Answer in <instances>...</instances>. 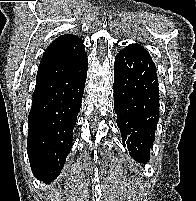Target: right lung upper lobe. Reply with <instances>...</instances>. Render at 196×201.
<instances>
[{
    "instance_id": "obj_1",
    "label": "right lung upper lobe",
    "mask_w": 196,
    "mask_h": 201,
    "mask_svg": "<svg viewBox=\"0 0 196 201\" xmlns=\"http://www.w3.org/2000/svg\"><path fill=\"white\" fill-rule=\"evenodd\" d=\"M83 40L72 34H64L55 39L43 54L41 63L66 61L81 62L87 59Z\"/></svg>"
}]
</instances>
